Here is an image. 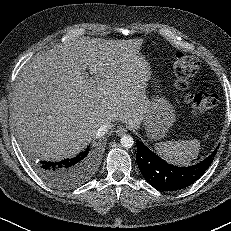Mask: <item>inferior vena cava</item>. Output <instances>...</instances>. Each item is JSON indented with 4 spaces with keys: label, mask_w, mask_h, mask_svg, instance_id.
Here are the masks:
<instances>
[{
    "label": "inferior vena cava",
    "mask_w": 231,
    "mask_h": 231,
    "mask_svg": "<svg viewBox=\"0 0 231 231\" xmlns=\"http://www.w3.org/2000/svg\"><path fill=\"white\" fill-rule=\"evenodd\" d=\"M111 127H112V124H111V123H104V124H102V125L99 127L98 131H97V137H102V136H104V135L108 132V130H109Z\"/></svg>",
    "instance_id": "602c4592"
}]
</instances>
